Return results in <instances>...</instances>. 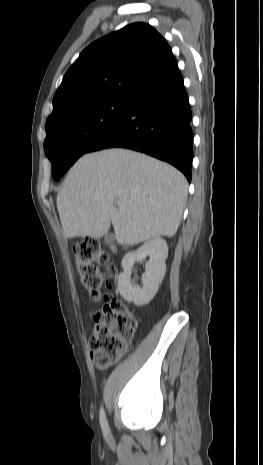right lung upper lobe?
Masks as SVG:
<instances>
[{"label":"right lung upper lobe","mask_w":263,"mask_h":465,"mask_svg":"<svg viewBox=\"0 0 263 465\" xmlns=\"http://www.w3.org/2000/svg\"><path fill=\"white\" fill-rule=\"evenodd\" d=\"M178 68L164 38L133 23L89 45L66 72L47 121L96 100L132 97Z\"/></svg>","instance_id":"obj_1"}]
</instances>
